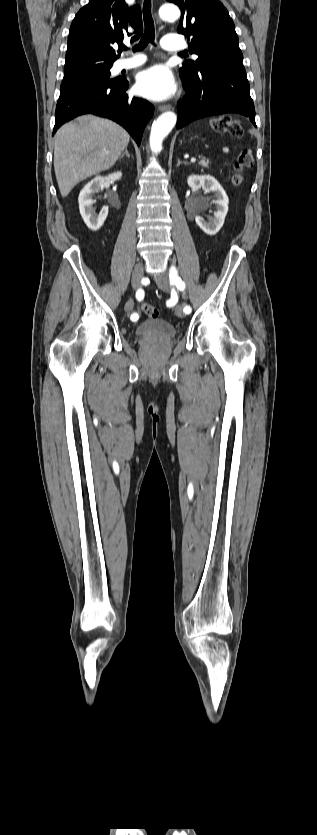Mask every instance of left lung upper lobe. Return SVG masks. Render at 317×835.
Returning <instances> with one entry per match:
<instances>
[{
  "label": "left lung upper lobe",
  "instance_id": "5c2ea615",
  "mask_svg": "<svg viewBox=\"0 0 317 835\" xmlns=\"http://www.w3.org/2000/svg\"><path fill=\"white\" fill-rule=\"evenodd\" d=\"M177 4L182 12L177 32L191 36L189 51L198 55L194 62L187 60L180 75L197 74L212 61H242L235 26L226 8L217 0H167Z\"/></svg>",
  "mask_w": 317,
  "mask_h": 835
}]
</instances>
